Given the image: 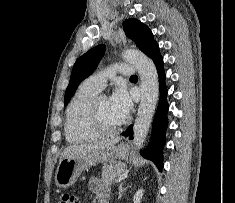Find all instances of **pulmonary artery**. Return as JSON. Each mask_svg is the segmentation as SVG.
I'll return each mask as SVG.
<instances>
[{"label":"pulmonary artery","instance_id":"pulmonary-artery-1","mask_svg":"<svg viewBox=\"0 0 235 203\" xmlns=\"http://www.w3.org/2000/svg\"><path fill=\"white\" fill-rule=\"evenodd\" d=\"M134 72V67L130 63H117L109 67L104 71H100L96 74L91 75L86 79V83L91 87L101 91L106 86V82L109 78L113 77L116 73L124 76H130Z\"/></svg>","mask_w":235,"mask_h":203}]
</instances>
